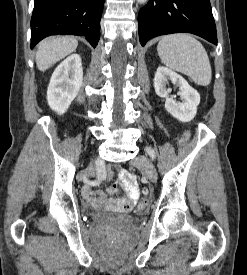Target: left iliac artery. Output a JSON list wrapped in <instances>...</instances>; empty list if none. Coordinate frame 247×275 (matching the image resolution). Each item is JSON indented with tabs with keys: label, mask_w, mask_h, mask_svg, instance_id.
<instances>
[{
	"label": "left iliac artery",
	"mask_w": 247,
	"mask_h": 275,
	"mask_svg": "<svg viewBox=\"0 0 247 275\" xmlns=\"http://www.w3.org/2000/svg\"><path fill=\"white\" fill-rule=\"evenodd\" d=\"M146 150H147V152L149 153L150 157H151L152 159H154L155 156H156L154 150L151 149V148H146Z\"/></svg>",
	"instance_id": "left-iliac-artery-1"
}]
</instances>
